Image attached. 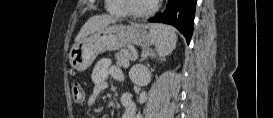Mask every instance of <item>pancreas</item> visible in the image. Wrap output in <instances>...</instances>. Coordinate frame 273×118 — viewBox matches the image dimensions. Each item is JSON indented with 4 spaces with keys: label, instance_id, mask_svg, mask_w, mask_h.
Here are the masks:
<instances>
[{
    "label": "pancreas",
    "instance_id": "1",
    "mask_svg": "<svg viewBox=\"0 0 273 118\" xmlns=\"http://www.w3.org/2000/svg\"><path fill=\"white\" fill-rule=\"evenodd\" d=\"M116 64L123 68L129 67V61L132 59L130 50H121L115 54Z\"/></svg>",
    "mask_w": 273,
    "mask_h": 118
}]
</instances>
